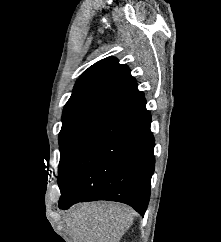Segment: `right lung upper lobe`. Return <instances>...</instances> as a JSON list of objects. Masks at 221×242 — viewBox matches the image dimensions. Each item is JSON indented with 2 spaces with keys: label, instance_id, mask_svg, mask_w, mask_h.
<instances>
[{
  "label": "right lung upper lobe",
  "instance_id": "1",
  "mask_svg": "<svg viewBox=\"0 0 221 242\" xmlns=\"http://www.w3.org/2000/svg\"><path fill=\"white\" fill-rule=\"evenodd\" d=\"M144 96L127 65L114 57L98 61L77 80L66 103L63 126L105 123Z\"/></svg>",
  "mask_w": 221,
  "mask_h": 242
}]
</instances>
